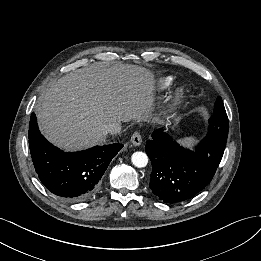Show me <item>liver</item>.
Segmentation results:
<instances>
[{
  "mask_svg": "<svg viewBox=\"0 0 261 261\" xmlns=\"http://www.w3.org/2000/svg\"><path fill=\"white\" fill-rule=\"evenodd\" d=\"M154 90V76L144 67L91 64L46 88L37 102L38 124L43 135L64 150L88 148L105 141L103 128L108 124L146 120Z\"/></svg>",
  "mask_w": 261,
  "mask_h": 261,
  "instance_id": "liver-1",
  "label": "liver"
}]
</instances>
